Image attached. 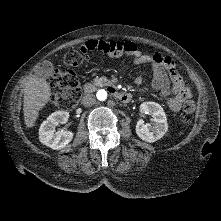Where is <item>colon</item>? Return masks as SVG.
<instances>
[{
	"label": "colon",
	"instance_id": "5ec220e1",
	"mask_svg": "<svg viewBox=\"0 0 221 221\" xmlns=\"http://www.w3.org/2000/svg\"><path fill=\"white\" fill-rule=\"evenodd\" d=\"M85 60L86 55L84 53L71 50L65 54L63 63L67 68H74L81 65ZM50 83L60 89L59 92L52 96V102L57 108L67 110L77 105L81 98V86L75 72L55 70L51 74ZM194 109V102L187 99L183 104V119L185 123L189 122Z\"/></svg>",
	"mask_w": 221,
	"mask_h": 221
}]
</instances>
